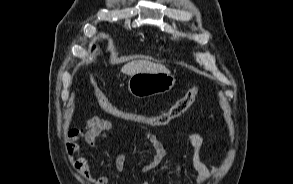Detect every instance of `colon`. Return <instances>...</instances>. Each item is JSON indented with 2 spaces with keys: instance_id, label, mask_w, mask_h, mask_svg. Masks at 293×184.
Segmentation results:
<instances>
[{
  "instance_id": "5ec220e1",
  "label": "colon",
  "mask_w": 293,
  "mask_h": 184,
  "mask_svg": "<svg viewBox=\"0 0 293 184\" xmlns=\"http://www.w3.org/2000/svg\"><path fill=\"white\" fill-rule=\"evenodd\" d=\"M99 50L100 46L98 43L93 44L90 47V52L94 56L98 55ZM88 80L96 100L104 111L120 119L138 122L154 127L164 126L185 113L194 103L199 92V86L195 85L191 87L184 96L174 102L167 110L156 115H148L138 113L136 111H125L112 105L98 87L97 82L90 70L88 71Z\"/></svg>"
}]
</instances>
